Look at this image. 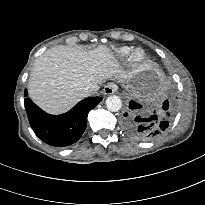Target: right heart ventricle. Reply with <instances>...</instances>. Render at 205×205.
Returning a JSON list of instances; mask_svg holds the SVG:
<instances>
[{
    "label": "right heart ventricle",
    "mask_w": 205,
    "mask_h": 205,
    "mask_svg": "<svg viewBox=\"0 0 205 205\" xmlns=\"http://www.w3.org/2000/svg\"><path fill=\"white\" fill-rule=\"evenodd\" d=\"M130 50L131 48L128 46L118 47L110 53V57L113 59L123 58L129 54Z\"/></svg>",
    "instance_id": "1"
}]
</instances>
